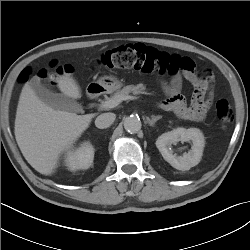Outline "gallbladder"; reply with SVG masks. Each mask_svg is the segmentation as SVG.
<instances>
[{
	"label": "gallbladder",
	"mask_w": 250,
	"mask_h": 250,
	"mask_svg": "<svg viewBox=\"0 0 250 250\" xmlns=\"http://www.w3.org/2000/svg\"><path fill=\"white\" fill-rule=\"evenodd\" d=\"M32 88L35 90L37 96L48 106L55 110L80 112L82 106L74 99H71L63 94L52 92L44 86L38 77H34L30 82Z\"/></svg>",
	"instance_id": "obj_1"
}]
</instances>
